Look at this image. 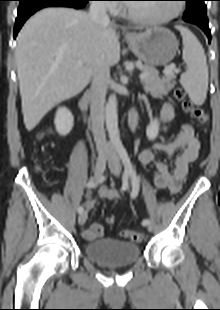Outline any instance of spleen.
Instances as JSON below:
<instances>
[{"label":"spleen","instance_id":"1","mask_svg":"<svg viewBox=\"0 0 220 310\" xmlns=\"http://www.w3.org/2000/svg\"><path fill=\"white\" fill-rule=\"evenodd\" d=\"M183 39L182 57L187 69L180 77V83L188 93L191 101L202 105L208 89V66L206 55L196 36L186 27H176Z\"/></svg>","mask_w":220,"mask_h":310}]
</instances>
